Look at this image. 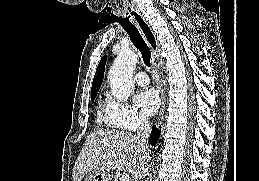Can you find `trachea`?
Returning <instances> with one entry per match:
<instances>
[{
	"label": "trachea",
	"instance_id": "3493384b",
	"mask_svg": "<svg viewBox=\"0 0 259 181\" xmlns=\"http://www.w3.org/2000/svg\"><path fill=\"white\" fill-rule=\"evenodd\" d=\"M126 33L129 35L133 45L140 51L143 62L147 67H150L151 52L145 41L143 40L137 27L129 20H125L120 23Z\"/></svg>",
	"mask_w": 259,
	"mask_h": 181
}]
</instances>
